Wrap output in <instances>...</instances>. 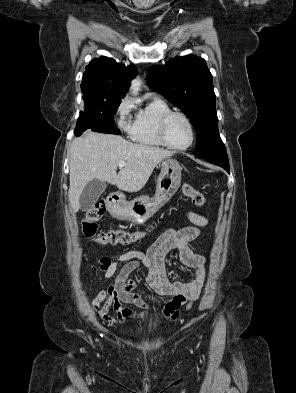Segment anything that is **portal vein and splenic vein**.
I'll return each mask as SVG.
<instances>
[{
    "label": "portal vein and splenic vein",
    "mask_w": 296,
    "mask_h": 393,
    "mask_svg": "<svg viewBox=\"0 0 296 393\" xmlns=\"http://www.w3.org/2000/svg\"><path fill=\"white\" fill-rule=\"evenodd\" d=\"M126 165L124 161L119 162L118 166L119 168H123Z\"/></svg>",
    "instance_id": "portal-vein-and-splenic-vein-1"
}]
</instances>
